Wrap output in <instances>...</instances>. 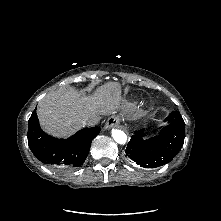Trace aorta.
Wrapping results in <instances>:
<instances>
[{"mask_svg": "<svg viewBox=\"0 0 221 221\" xmlns=\"http://www.w3.org/2000/svg\"><path fill=\"white\" fill-rule=\"evenodd\" d=\"M112 137L118 144H125L127 141V135L122 130L113 129Z\"/></svg>", "mask_w": 221, "mask_h": 221, "instance_id": "1", "label": "aorta"}]
</instances>
